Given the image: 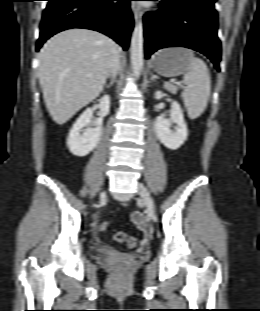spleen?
Wrapping results in <instances>:
<instances>
[{
	"mask_svg": "<svg viewBox=\"0 0 260 311\" xmlns=\"http://www.w3.org/2000/svg\"><path fill=\"white\" fill-rule=\"evenodd\" d=\"M183 83L186 85L182 92L184 105L189 118L196 119L206 109L211 89L209 69L202 59H191V66L183 76Z\"/></svg>",
	"mask_w": 260,
	"mask_h": 311,
	"instance_id": "spleen-1",
	"label": "spleen"
}]
</instances>
